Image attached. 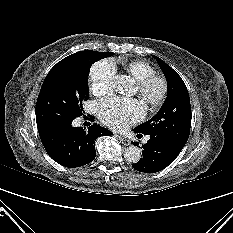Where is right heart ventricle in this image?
<instances>
[{
  "mask_svg": "<svg viewBox=\"0 0 233 233\" xmlns=\"http://www.w3.org/2000/svg\"><path fill=\"white\" fill-rule=\"evenodd\" d=\"M124 68L137 82L155 75V69L146 61H131L127 63Z\"/></svg>",
  "mask_w": 233,
  "mask_h": 233,
  "instance_id": "right-heart-ventricle-1",
  "label": "right heart ventricle"
}]
</instances>
